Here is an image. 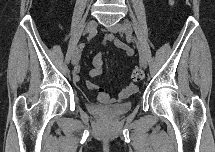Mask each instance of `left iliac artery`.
Masks as SVG:
<instances>
[{"mask_svg": "<svg viewBox=\"0 0 215 152\" xmlns=\"http://www.w3.org/2000/svg\"><path fill=\"white\" fill-rule=\"evenodd\" d=\"M125 26H126V28H127L128 30H132V29H131V26H130L129 24L126 23Z\"/></svg>", "mask_w": 215, "mask_h": 152, "instance_id": "44dca946", "label": "left iliac artery"}]
</instances>
